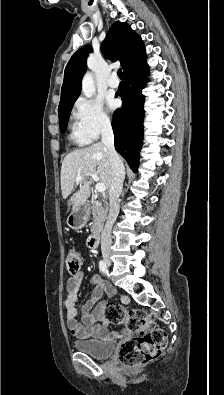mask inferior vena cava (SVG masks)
<instances>
[{"mask_svg":"<svg viewBox=\"0 0 224 395\" xmlns=\"http://www.w3.org/2000/svg\"><path fill=\"white\" fill-rule=\"evenodd\" d=\"M101 136V141L108 150L112 176L109 188V214L101 234V251L102 254H107L110 251L112 244V226L119 214V197L123 188L125 169L123 162L114 147V134L109 120L102 123Z\"/></svg>","mask_w":224,"mask_h":395,"instance_id":"602c4592","label":"inferior vena cava"}]
</instances>
